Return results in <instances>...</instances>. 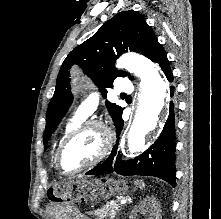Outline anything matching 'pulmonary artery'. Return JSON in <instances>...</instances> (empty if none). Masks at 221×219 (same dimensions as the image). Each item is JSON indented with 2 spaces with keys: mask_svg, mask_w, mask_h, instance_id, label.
<instances>
[{
  "mask_svg": "<svg viewBox=\"0 0 221 219\" xmlns=\"http://www.w3.org/2000/svg\"><path fill=\"white\" fill-rule=\"evenodd\" d=\"M117 92L121 95H129L133 92L131 81L126 77H120L116 83ZM99 95L93 93L89 95L78 107L77 113L83 117L91 115L98 107Z\"/></svg>",
  "mask_w": 221,
  "mask_h": 219,
  "instance_id": "e3ab8cb5",
  "label": "pulmonary artery"
}]
</instances>
